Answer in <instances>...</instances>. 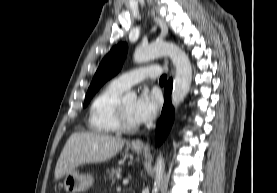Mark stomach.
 <instances>
[{"instance_id":"stomach-1","label":"stomach","mask_w":277,"mask_h":193,"mask_svg":"<svg viewBox=\"0 0 277 193\" xmlns=\"http://www.w3.org/2000/svg\"><path fill=\"white\" fill-rule=\"evenodd\" d=\"M132 149L137 153H142L143 148L132 146ZM93 184V176L90 174H81L74 170L65 175L63 186L67 193L85 192Z\"/></svg>"}]
</instances>
